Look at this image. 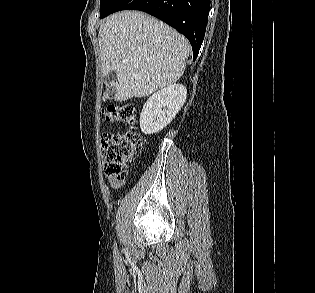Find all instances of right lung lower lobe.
Returning <instances> with one entry per match:
<instances>
[{
  "mask_svg": "<svg viewBox=\"0 0 315 293\" xmlns=\"http://www.w3.org/2000/svg\"><path fill=\"white\" fill-rule=\"evenodd\" d=\"M147 12L188 38L193 49V60L199 53L207 25L210 0H112L100 17L120 10Z\"/></svg>",
  "mask_w": 315,
  "mask_h": 293,
  "instance_id": "obj_1",
  "label": "right lung lower lobe"
}]
</instances>
